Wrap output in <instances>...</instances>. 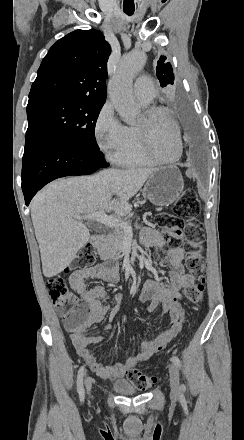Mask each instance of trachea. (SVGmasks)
<instances>
[{
  "instance_id": "1",
  "label": "trachea",
  "mask_w": 244,
  "mask_h": 440,
  "mask_svg": "<svg viewBox=\"0 0 244 440\" xmlns=\"http://www.w3.org/2000/svg\"><path fill=\"white\" fill-rule=\"evenodd\" d=\"M124 13H126V15H133L134 13V9H128V8H124Z\"/></svg>"
}]
</instances>
